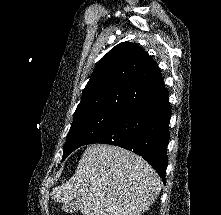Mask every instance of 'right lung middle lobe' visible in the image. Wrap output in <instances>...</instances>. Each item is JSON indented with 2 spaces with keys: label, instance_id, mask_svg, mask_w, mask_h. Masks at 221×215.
Segmentation results:
<instances>
[{
  "label": "right lung middle lobe",
  "instance_id": "obj_1",
  "mask_svg": "<svg viewBox=\"0 0 221 215\" xmlns=\"http://www.w3.org/2000/svg\"><path fill=\"white\" fill-rule=\"evenodd\" d=\"M119 117L121 116L102 111L74 113L73 123L67 134L62 160L77 148L86 145L89 140L104 131Z\"/></svg>",
  "mask_w": 221,
  "mask_h": 215
}]
</instances>
